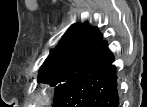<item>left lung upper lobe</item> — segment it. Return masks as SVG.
I'll return each mask as SVG.
<instances>
[{"instance_id":"1","label":"left lung upper lobe","mask_w":147,"mask_h":107,"mask_svg":"<svg viewBox=\"0 0 147 107\" xmlns=\"http://www.w3.org/2000/svg\"><path fill=\"white\" fill-rule=\"evenodd\" d=\"M102 40L98 28L91 27L88 22L73 24L44 61L38 82L56 86L57 99L68 82L97 51Z\"/></svg>"}]
</instances>
